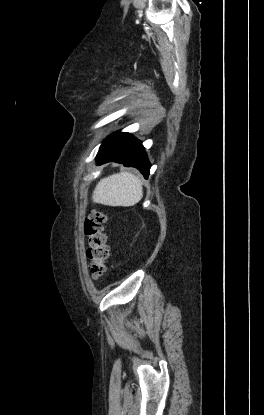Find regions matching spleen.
<instances>
[{
    "mask_svg": "<svg viewBox=\"0 0 264 415\" xmlns=\"http://www.w3.org/2000/svg\"><path fill=\"white\" fill-rule=\"evenodd\" d=\"M143 197L140 179L130 172H120L101 179L92 195L95 203L129 207Z\"/></svg>",
    "mask_w": 264,
    "mask_h": 415,
    "instance_id": "obj_1",
    "label": "spleen"
}]
</instances>
